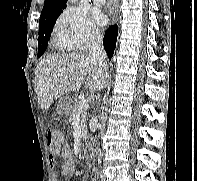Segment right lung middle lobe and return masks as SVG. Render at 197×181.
I'll list each match as a JSON object with an SVG mask.
<instances>
[{
  "mask_svg": "<svg viewBox=\"0 0 197 181\" xmlns=\"http://www.w3.org/2000/svg\"><path fill=\"white\" fill-rule=\"evenodd\" d=\"M60 13L50 14L40 17L39 20V37H38V57L43 55L48 46L55 20Z\"/></svg>",
  "mask_w": 197,
  "mask_h": 181,
  "instance_id": "dd1d6c3e",
  "label": "right lung middle lobe"
}]
</instances>
